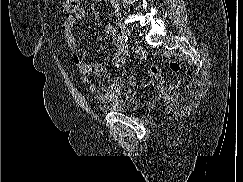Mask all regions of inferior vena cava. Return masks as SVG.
<instances>
[{
	"label": "inferior vena cava",
	"instance_id": "obj_1",
	"mask_svg": "<svg viewBox=\"0 0 243 182\" xmlns=\"http://www.w3.org/2000/svg\"><path fill=\"white\" fill-rule=\"evenodd\" d=\"M112 7L115 9L116 12H119V0H110Z\"/></svg>",
	"mask_w": 243,
	"mask_h": 182
}]
</instances>
